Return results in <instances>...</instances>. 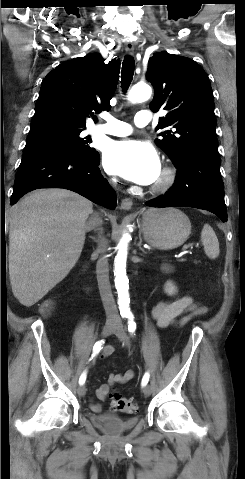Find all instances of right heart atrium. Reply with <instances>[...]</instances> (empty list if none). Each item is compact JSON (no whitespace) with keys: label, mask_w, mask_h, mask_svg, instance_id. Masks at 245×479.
I'll return each instance as SVG.
<instances>
[{"label":"right heart atrium","mask_w":245,"mask_h":479,"mask_svg":"<svg viewBox=\"0 0 245 479\" xmlns=\"http://www.w3.org/2000/svg\"><path fill=\"white\" fill-rule=\"evenodd\" d=\"M110 180H111V181H114L115 179H114L112 176H110Z\"/></svg>","instance_id":"d8ad5b80"}]
</instances>
